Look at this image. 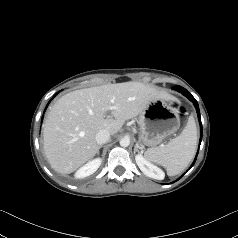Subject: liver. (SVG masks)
<instances>
[{
	"mask_svg": "<svg viewBox=\"0 0 238 238\" xmlns=\"http://www.w3.org/2000/svg\"><path fill=\"white\" fill-rule=\"evenodd\" d=\"M166 92L140 82H123L75 90L59 98L43 125V148L57 172L70 174L97 153L96 134L115 135L126 120L139 115ZM110 113V115H107Z\"/></svg>",
	"mask_w": 238,
	"mask_h": 238,
	"instance_id": "1",
	"label": "liver"
}]
</instances>
